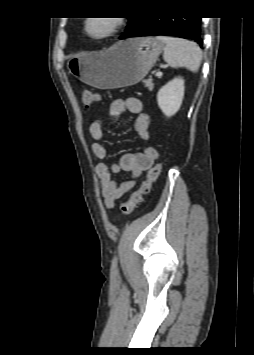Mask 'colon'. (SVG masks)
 Listing matches in <instances>:
<instances>
[{
  "label": "colon",
  "instance_id": "5ec220e1",
  "mask_svg": "<svg viewBox=\"0 0 254 355\" xmlns=\"http://www.w3.org/2000/svg\"><path fill=\"white\" fill-rule=\"evenodd\" d=\"M99 100V95L91 90H84L81 94V101L85 108H91ZM162 169V164L157 163L147 173L146 178L141 182L140 187L121 204V212L124 215L131 214L142 202L143 197L151 190L152 184L157 180Z\"/></svg>",
  "mask_w": 254,
  "mask_h": 355
}]
</instances>
